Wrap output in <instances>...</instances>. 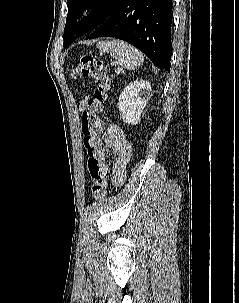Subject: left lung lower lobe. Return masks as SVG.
I'll use <instances>...</instances> for the list:
<instances>
[{
	"label": "left lung lower lobe",
	"mask_w": 239,
	"mask_h": 303,
	"mask_svg": "<svg viewBox=\"0 0 239 303\" xmlns=\"http://www.w3.org/2000/svg\"><path fill=\"white\" fill-rule=\"evenodd\" d=\"M172 0H121L86 39L116 37L127 41L170 72Z\"/></svg>",
	"instance_id": "0a47b994"
}]
</instances>
